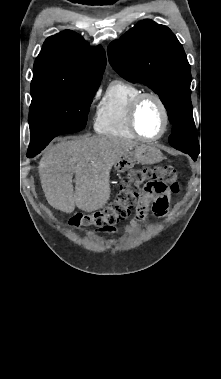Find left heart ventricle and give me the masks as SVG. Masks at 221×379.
Here are the masks:
<instances>
[{
	"label": "left heart ventricle",
	"instance_id": "obj_1",
	"mask_svg": "<svg viewBox=\"0 0 221 379\" xmlns=\"http://www.w3.org/2000/svg\"><path fill=\"white\" fill-rule=\"evenodd\" d=\"M137 126L147 137L158 135L163 126V116L158 103L151 98L145 99L137 113Z\"/></svg>",
	"mask_w": 221,
	"mask_h": 379
}]
</instances>
